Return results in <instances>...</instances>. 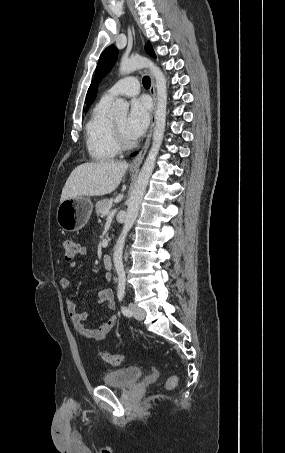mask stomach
<instances>
[{
  "label": "stomach",
  "instance_id": "1",
  "mask_svg": "<svg viewBox=\"0 0 285 453\" xmlns=\"http://www.w3.org/2000/svg\"><path fill=\"white\" fill-rule=\"evenodd\" d=\"M92 210L93 204L86 197L64 200L57 208V223L65 231H78L88 222Z\"/></svg>",
  "mask_w": 285,
  "mask_h": 453
}]
</instances>
